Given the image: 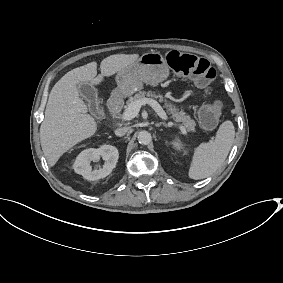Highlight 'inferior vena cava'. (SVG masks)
I'll list each match as a JSON object with an SVG mask.
<instances>
[{
  "instance_id": "obj_1",
  "label": "inferior vena cava",
  "mask_w": 283,
  "mask_h": 283,
  "mask_svg": "<svg viewBox=\"0 0 283 283\" xmlns=\"http://www.w3.org/2000/svg\"><path fill=\"white\" fill-rule=\"evenodd\" d=\"M128 131V127H122L115 130V135L124 136Z\"/></svg>"
}]
</instances>
